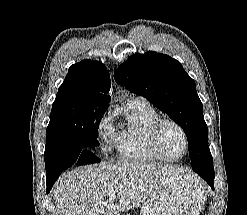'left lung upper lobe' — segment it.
Segmentation results:
<instances>
[{
	"label": "left lung upper lobe",
	"mask_w": 247,
	"mask_h": 215,
	"mask_svg": "<svg viewBox=\"0 0 247 215\" xmlns=\"http://www.w3.org/2000/svg\"><path fill=\"white\" fill-rule=\"evenodd\" d=\"M114 78L119 85L147 98L183 128L192 165L210 153L208 129L195 81L179 61L153 51L134 54L117 68Z\"/></svg>",
	"instance_id": "left-lung-upper-lobe-1"
}]
</instances>
